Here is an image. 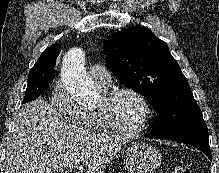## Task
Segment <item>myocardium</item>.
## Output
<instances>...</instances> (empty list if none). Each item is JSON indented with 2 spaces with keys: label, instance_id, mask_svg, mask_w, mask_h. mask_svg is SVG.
<instances>
[{
  "label": "myocardium",
  "instance_id": "f54148a6",
  "mask_svg": "<svg viewBox=\"0 0 219 173\" xmlns=\"http://www.w3.org/2000/svg\"><path fill=\"white\" fill-rule=\"evenodd\" d=\"M128 93L135 96L143 106V117L139 126L133 130L119 128L110 117L109 105L120 94ZM98 115L108 131L121 137L132 138L143 133L152 117V107L146 96L135 88L129 86H118L107 89L102 94V103L97 106Z\"/></svg>",
  "mask_w": 219,
  "mask_h": 173
}]
</instances>
